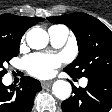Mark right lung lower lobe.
I'll return each mask as SVG.
<instances>
[{
  "instance_id": "right-lung-lower-lobe-1",
  "label": "right lung lower lobe",
  "mask_w": 112,
  "mask_h": 112,
  "mask_svg": "<svg viewBox=\"0 0 112 112\" xmlns=\"http://www.w3.org/2000/svg\"><path fill=\"white\" fill-rule=\"evenodd\" d=\"M40 82L24 76L20 87L4 86L0 79V112H30L34 104V96L40 91Z\"/></svg>"
}]
</instances>
